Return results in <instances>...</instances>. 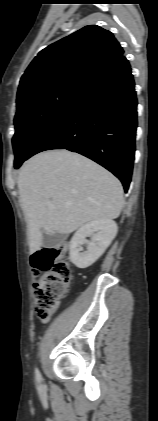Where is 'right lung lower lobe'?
Instances as JSON below:
<instances>
[{"mask_svg":"<svg viewBox=\"0 0 158 421\" xmlns=\"http://www.w3.org/2000/svg\"><path fill=\"white\" fill-rule=\"evenodd\" d=\"M128 60L121 56L97 74L32 147L28 158L67 149L99 163L127 192L137 128V98Z\"/></svg>","mask_w":158,"mask_h":421,"instance_id":"1","label":"right lung lower lobe"}]
</instances>
